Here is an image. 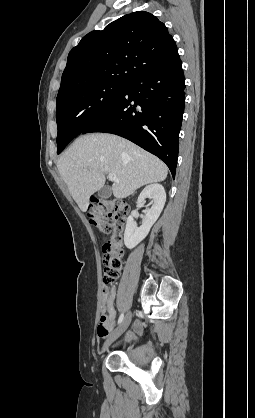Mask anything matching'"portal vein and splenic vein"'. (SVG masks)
<instances>
[{
	"mask_svg": "<svg viewBox=\"0 0 255 418\" xmlns=\"http://www.w3.org/2000/svg\"><path fill=\"white\" fill-rule=\"evenodd\" d=\"M109 179L114 181V182H119L117 176L114 173H109L108 175Z\"/></svg>",
	"mask_w": 255,
	"mask_h": 418,
	"instance_id": "portal-vein-and-splenic-vein-1",
	"label": "portal vein and splenic vein"
}]
</instances>
